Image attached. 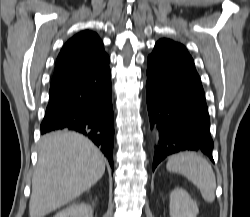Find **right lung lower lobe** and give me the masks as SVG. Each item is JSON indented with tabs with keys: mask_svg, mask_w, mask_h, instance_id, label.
<instances>
[{
	"mask_svg": "<svg viewBox=\"0 0 250 217\" xmlns=\"http://www.w3.org/2000/svg\"><path fill=\"white\" fill-rule=\"evenodd\" d=\"M41 134L72 130L91 139L113 164L114 122L109 57L87 73L49 90Z\"/></svg>",
	"mask_w": 250,
	"mask_h": 217,
	"instance_id": "1",
	"label": "right lung lower lobe"
}]
</instances>
